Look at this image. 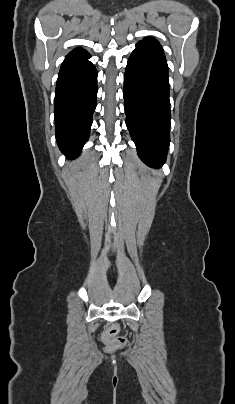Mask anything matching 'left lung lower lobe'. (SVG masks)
I'll return each mask as SVG.
<instances>
[{
  "instance_id": "left-lung-lower-lobe-1",
  "label": "left lung lower lobe",
  "mask_w": 235,
  "mask_h": 404,
  "mask_svg": "<svg viewBox=\"0 0 235 404\" xmlns=\"http://www.w3.org/2000/svg\"><path fill=\"white\" fill-rule=\"evenodd\" d=\"M126 125L140 158L161 167L170 142L168 66L163 50L136 45L124 77Z\"/></svg>"
}]
</instances>
